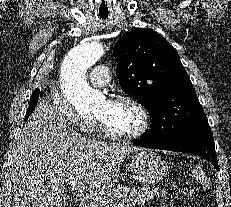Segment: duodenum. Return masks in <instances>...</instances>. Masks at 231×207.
<instances>
[{"label": "duodenum", "mask_w": 231, "mask_h": 207, "mask_svg": "<svg viewBox=\"0 0 231 207\" xmlns=\"http://www.w3.org/2000/svg\"><path fill=\"white\" fill-rule=\"evenodd\" d=\"M80 207H85V206H83V205H80Z\"/></svg>", "instance_id": "obj_1"}]
</instances>
